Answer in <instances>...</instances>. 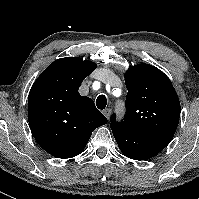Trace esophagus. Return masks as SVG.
Segmentation results:
<instances>
[{"mask_svg":"<svg viewBox=\"0 0 199 199\" xmlns=\"http://www.w3.org/2000/svg\"><path fill=\"white\" fill-rule=\"evenodd\" d=\"M102 112L106 116V118L108 119L110 114H111V110L109 108H107V109H104Z\"/></svg>","mask_w":199,"mask_h":199,"instance_id":"esophagus-1","label":"esophagus"}]
</instances>
